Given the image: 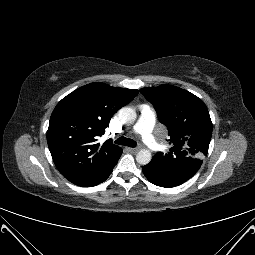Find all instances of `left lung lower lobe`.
<instances>
[{"instance_id":"obj_1","label":"left lung lower lobe","mask_w":255,"mask_h":255,"mask_svg":"<svg viewBox=\"0 0 255 255\" xmlns=\"http://www.w3.org/2000/svg\"><path fill=\"white\" fill-rule=\"evenodd\" d=\"M142 171L144 173V175L146 176V178L153 184L160 186V187H175L178 186L182 183L180 182H176L173 181L169 178H166L160 174H158L157 172H155L154 170L150 169L148 166H143L142 167Z\"/></svg>"}]
</instances>
